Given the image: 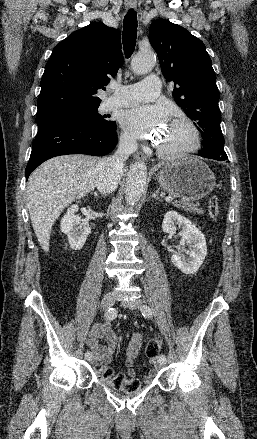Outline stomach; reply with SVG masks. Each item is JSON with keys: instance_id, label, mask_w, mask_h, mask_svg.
<instances>
[{"instance_id": "stomach-1", "label": "stomach", "mask_w": 257, "mask_h": 439, "mask_svg": "<svg viewBox=\"0 0 257 439\" xmlns=\"http://www.w3.org/2000/svg\"><path fill=\"white\" fill-rule=\"evenodd\" d=\"M157 179L166 192L182 201L200 200L215 187L214 173L197 157L165 163Z\"/></svg>"}]
</instances>
